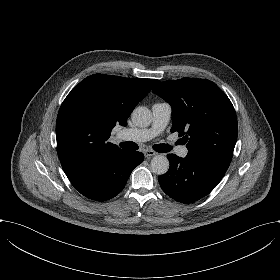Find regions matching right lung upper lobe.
<instances>
[{"instance_id":"right-lung-upper-lobe-1","label":"right lung upper lobe","mask_w":280,"mask_h":280,"mask_svg":"<svg viewBox=\"0 0 280 280\" xmlns=\"http://www.w3.org/2000/svg\"><path fill=\"white\" fill-rule=\"evenodd\" d=\"M159 82L94 74L82 80L65 98L56 122L57 152L74 188L88 176L124 153L107 142L115 125L125 126L131 112Z\"/></svg>"}]
</instances>
